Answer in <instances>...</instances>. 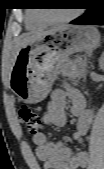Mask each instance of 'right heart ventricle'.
Wrapping results in <instances>:
<instances>
[{
  "instance_id": "obj_1",
  "label": "right heart ventricle",
  "mask_w": 104,
  "mask_h": 169,
  "mask_svg": "<svg viewBox=\"0 0 104 169\" xmlns=\"http://www.w3.org/2000/svg\"><path fill=\"white\" fill-rule=\"evenodd\" d=\"M26 27L29 30H39L44 28L47 23L39 18L35 12H29L26 14Z\"/></svg>"
}]
</instances>
